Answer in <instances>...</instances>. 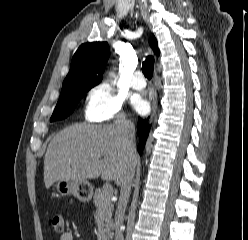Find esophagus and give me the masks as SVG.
Segmentation results:
<instances>
[{
	"mask_svg": "<svg viewBox=\"0 0 248 240\" xmlns=\"http://www.w3.org/2000/svg\"><path fill=\"white\" fill-rule=\"evenodd\" d=\"M157 109V98H156V95L153 96V99H152V113L151 115H153L155 113Z\"/></svg>",
	"mask_w": 248,
	"mask_h": 240,
	"instance_id": "obj_1",
	"label": "esophagus"
}]
</instances>
